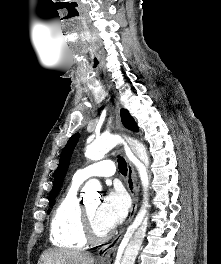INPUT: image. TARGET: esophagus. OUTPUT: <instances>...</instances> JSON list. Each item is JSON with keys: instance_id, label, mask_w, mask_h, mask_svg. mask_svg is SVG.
<instances>
[{"instance_id": "1", "label": "esophagus", "mask_w": 221, "mask_h": 264, "mask_svg": "<svg viewBox=\"0 0 221 264\" xmlns=\"http://www.w3.org/2000/svg\"><path fill=\"white\" fill-rule=\"evenodd\" d=\"M120 104L118 101H116V108H115V113H116V126L119 132L125 133L126 129L124 128L121 119H120ZM126 146H124L125 148ZM126 185L128 192L132 198V205L129 211V217L126 221V225L132 222L134 215L137 211V206H138V189L136 186V174L133 168L132 163L127 160V178H126ZM125 231V228L121 229L118 235L108 244L102 246L98 253H97V260L101 264H107L109 262L111 254L116 250L123 233Z\"/></svg>"}]
</instances>
